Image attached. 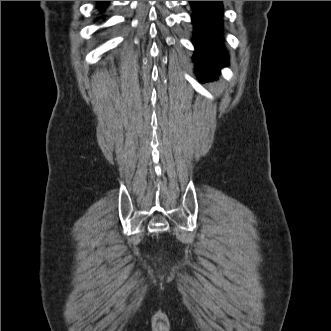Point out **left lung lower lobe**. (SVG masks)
I'll return each instance as SVG.
<instances>
[{
	"mask_svg": "<svg viewBox=\"0 0 331 331\" xmlns=\"http://www.w3.org/2000/svg\"><path fill=\"white\" fill-rule=\"evenodd\" d=\"M194 24L196 72L201 80H212L220 68L228 65V55L221 44V1H189Z\"/></svg>",
	"mask_w": 331,
	"mask_h": 331,
	"instance_id": "left-lung-lower-lobe-1",
	"label": "left lung lower lobe"
}]
</instances>
